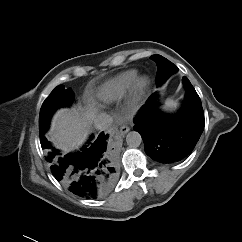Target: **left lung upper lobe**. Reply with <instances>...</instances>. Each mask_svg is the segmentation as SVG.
Wrapping results in <instances>:
<instances>
[{"mask_svg": "<svg viewBox=\"0 0 242 242\" xmlns=\"http://www.w3.org/2000/svg\"><path fill=\"white\" fill-rule=\"evenodd\" d=\"M151 58L157 63L158 72L156 75V84L160 85L173 73L177 72L178 68L172 62L161 55H153Z\"/></svg>", "mask_w": 242, "mask_h": 242, "instance_id": "obj_1", "label": "left lung upper lobe"}]
</instances>
